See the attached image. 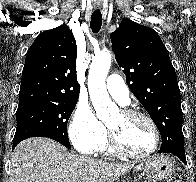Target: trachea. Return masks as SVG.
Wrapping results in <instances>:
<instances>
[{"mask_svg": "<svg viewBox=\"0 0 196 182\" xmlns=\"http://www.w3.org/2000/svg\"><path fill=\"white\" fill-rule=\"evenodd\" d=\"M101 25H102V14L101 11L97 9L92 13L90 27L94 33H98L101 29Z\"/></svg>", "mask_w": 196, "mask_h": 182, "instance_id": "1", "label": "trachea"}]
</instances>
